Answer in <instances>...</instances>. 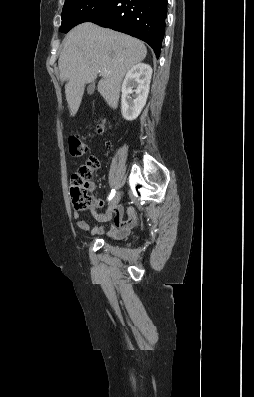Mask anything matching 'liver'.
Instances as JSON below:
<instances>
[{"label": "liver", "mask_w": 254, "mask_h": 397, "mask_svg": "<svg viewBox=\"0 0 254 397\" xmlns=\"http://www.w3.org/2000/svg\"><path fill=\"white\" fill-rule=\"evenodd\" d=\"M146 55L145 45L129 35L89 22L74 27L64 39L58 60L60 79L66 81L70 115L77 113L85 85L93 82L98 74L102 76L98 92L116 109L124 75Z\"/></svg>", "instance_id": "obj_1"}]
</instances>
